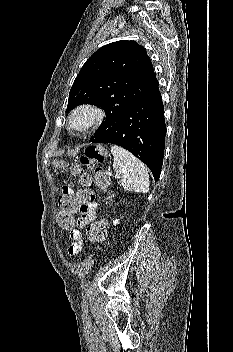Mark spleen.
I'll list each match as a JSON object with an SVG mask.
<instances>
[{"mask_svg":"<svg viewBox=\"0 0 233 352\" xmlns=\"http://www.w3.org/2000/svg\"><path fill=\"white\" fill-rule=\"evenodd\" d=\"M111 153L114 156L113 169L121 175V185L128 191L147 193L149 190V175L146 166L122 147L113 145Z\"/></svg>","mask_w":233,"mask_h":352,"instance_id":"3e777b00","label":"spleen"}]
</instances>
